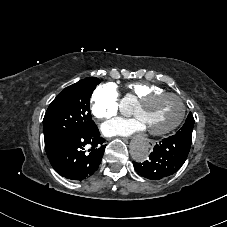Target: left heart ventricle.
Returning <instances> with one entry per match:
<instances>
[{
  "label": "left heart ventricle",
  "instance_id": "obj_1",
  "mask_svg": "<svg viewBox=\"0 0 227 227\" xmlns=\"http://www.w3.org/2000/svg\"><path fill=\"white\" fill-rule=\"evenodd\" d=\"M181 106L171 96H162L148 104L139 105L133 113L147 131H163L179 117Z\"/></svg>",
  "mask_w": 227,
  "mask_h": 227
}]
</instances>
